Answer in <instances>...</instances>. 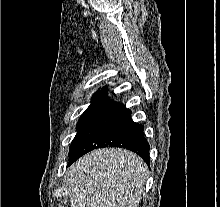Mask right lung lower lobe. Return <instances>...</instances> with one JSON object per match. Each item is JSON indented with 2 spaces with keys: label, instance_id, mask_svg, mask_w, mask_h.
Wrapping results in <instances>:
<instances>
[{
  "label": "right lung lower lobe",
  "instance_id": "obj_1",
  "mask_svg": "<svg viewBox=\"0 0 220 207\" xmlns=\"http://www.w3.org/2000/svg\"><path fill=\"white\" fill-rule=\"evenodd\" d=\"M106 89L99 92L73 139L67 166L87 152L107 146L127 148L149 164L150 146L143 134L144 126L132 121L131 111L122 103L108 99Z\"/></svg>",
  "mask_w": 220,
  "mask_h": 207
}]
</instances>
